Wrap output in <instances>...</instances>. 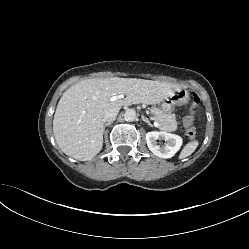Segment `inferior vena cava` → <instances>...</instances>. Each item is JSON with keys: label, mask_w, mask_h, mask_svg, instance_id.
Segmentation results:
<instances>
[{"label": "inferior vena cava", "mask_w": 249, "mask_h": 249, "mask_svg": "<svg viewBox=\"0 0 249 249\" xmlns=\"http://www.w3.org/2000/svg\"><path fill=\"white\" fill-rule=\"evenodd\" d=\"M119 109H109L104 114V121L113 122L118 114Z\"/></svg>", "instance_id": "1"}]
</instances>
